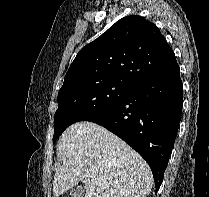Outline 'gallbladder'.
Instances as JSON below:
<instances>
[{"label":"gallbladder","instance_id":"1","mask_svg":"<svg viewBox=\"0 0 209 197\" xmlns=\"http://www.w3.org/2000/svg\"><path fill=\"white\" fill-rule=\"evenodd\" d=\"M84 193L85 187L82 185H77L70 190L69 197H83Z\"/></svg>","mask_w":209,"mask_h":197}]
</instances>
